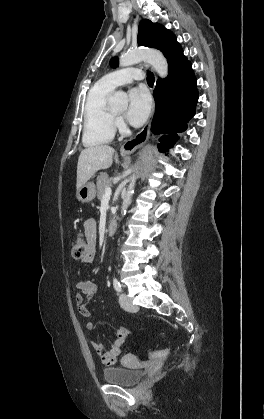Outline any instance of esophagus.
I'll return each instance as SVG.
<instances>
[{
  "mask_svg": "<svg viewBox=\"0 0 264 419\" xmlns=\"http://www.w3.org/2000/svg\"><path fill=\"white\" fill-rule=\"evenodd\" d=\"M154 109L152 111V115L148 122L144 125V127L131 139L125 141L122 146L120 147V153L122 155H130L136 149H138L148 138L151 120L153 117Z\"/></svg>",
  "mask_w": 264,
  "mask_h": 419,
  "instance_id": "obj_1",
  "label": "esophagus"
}]
</instances>
